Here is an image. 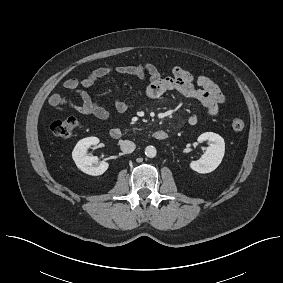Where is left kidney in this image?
Segmentation results:
<instances>
[{
    "label": "left kidney",
    "instance_id": "5707ae66",
    "mask_svg": "<svg viewBox=\"0 0 283 283\" xmlns=\"http://www.w3.org/2000/svg\"><path fill=\"white\" fill-rule=\"evenodd\" d=\"M197 140L200 143L208 141L209 146L199 160L191 161L190 168L201 174L210 173L220 165L224 157V139L219 134L205 132Z\"/></svg>",
    "mask_w": 283,
    "mask_h": 283
}]
</instances>
